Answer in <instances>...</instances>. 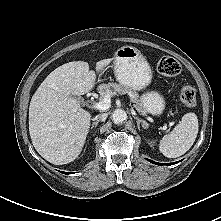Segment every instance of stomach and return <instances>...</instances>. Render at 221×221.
<instances>
[{"instance_id": "stomach-1", "label": "stomach", "mask_w": 221, "mask_h": 221, "mask_svg": "<svg viewBox=\"0 0 221 221\" xmlns=\"http://www.w3.org/2000/svg\"><path fill=\"white\" fill-rule=\"evenodd\" d=\"M114 73L116 80L132 90H143L152 81V71L142 53L135 47L123 46L115 52ZM143 110L159 116L165 109L163 95L156 91L144 93L140 98Z\"/></svg>"}]
</instances>
